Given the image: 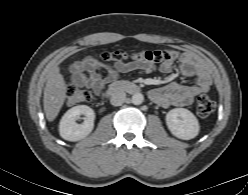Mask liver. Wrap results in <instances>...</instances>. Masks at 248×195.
<instances>
[{
  "label": "liver",
  "mask_w": 248,
  "mask_h": 195,
  "mask_svg": "<svg viewBox=\"0 0 248 195\" xmlns=\"http://www.w3.org/2000/svg\"><path fill=\"white\" fill-rule=\"evenodd\" d=\"M66 83L60 68L54 66L44 88L43 105L48 121H53L59 114L66 98Z\"/></svg>",
  "instance_id": "6515ba94"
}]
</instances>
